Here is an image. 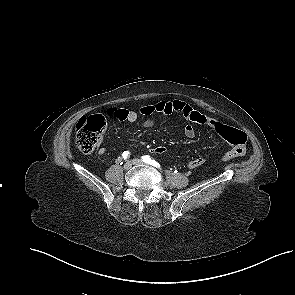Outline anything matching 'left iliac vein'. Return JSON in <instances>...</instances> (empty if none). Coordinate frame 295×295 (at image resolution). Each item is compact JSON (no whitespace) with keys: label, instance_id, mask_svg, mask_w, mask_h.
Returning <instances> with one entry per match:
<instances>
[{"label":"left iliac vein","instance_id":"1","mask_svg":"<svg viewBox=\"0 0 295 295\" xmlns=\"http://www.w3.org/2000/svg\"><path fill=\"white\" fill-rule=\"evenodd\" d=\"M132 163H133L134 165H143V164H144L142 160L137 159V158L133 159V160H132Z\"/></svg>","mask_w":295,"mask_h":295}]
</instances>
